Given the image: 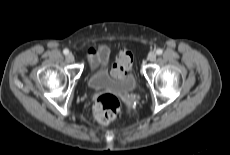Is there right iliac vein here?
<instances>
[{
    "mask_svg": "<svg viewBox=\"0 0 230 155\" xmlns=\"http://www.w3.org/2000/svg\"><path fill=\"white\" fill-rule=\"evenodd\" d=\"M67 62H73L74 61V55L72 53H68L66 55Z\"/></svg>",
    "mask_w": 230,
    "mask_h": 155,
    "instance_id": "obj_1",
    "label": "right iliac vein"
}]
</instances>
